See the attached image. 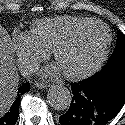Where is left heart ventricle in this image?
Instances as JSON below:
<instances>
[{
    "label": "left heart ventricle",
    "instance_id": "obj_1",
    "mask_svg": "<svg viewBox=\"0 0 125 125\" xmlns=\"http://www.w3.org/2000/svg\"><path fill=\"white\" fill-rule=\"evenodd\" d=\"M106 42L105 29L98 24L79 31L59 52L57 65L65 73H77L91 66L100 56Z\"/></svg>",
    "mask_w": 125,
    "mask_h": 125
}]
</instances>
